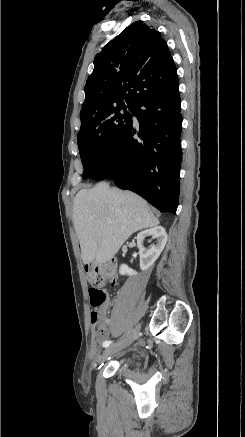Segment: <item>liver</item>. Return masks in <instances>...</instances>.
<instances>
[{"label": "liver", "mask_w": 245, "mask_h": 437, "mask_svg": "<svg viewBox=\"0 0 245 437\" xmlns=\"http://www.w3.org/2000/svg\"><path fill=\"white\" fill-rule=\"evenodd\" d=\"M73 224L83 262L103 264L114 257L133 233L155 227L159 220L136 194L100 182L76 194Z\"/></svg>", "instance_id": "obj_1"}]
</instances>
